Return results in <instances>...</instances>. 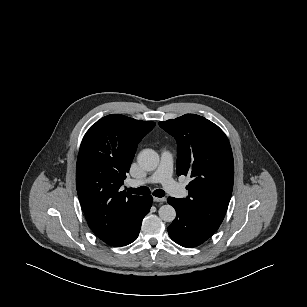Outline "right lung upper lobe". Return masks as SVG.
Returning a JSON list of instances; mask_svg holds the SVG:
<instances>
[{
    "label": "right lung upper lobe",
    "mask_w": 307,
    "mask_h": 307,
    "mask_svg": "<svg viewBox=\"0 0 307 307\" xmlns=\"http://www.w3.org/2000/svg\"><path fill=\"white\" fill-rule=\"evenodd\" d=\"M155 126L120 114L101 118L85 134L76 165L78 198L91 230L102 241L122 245L133 233L144 196L121 191L138 143Z\"/></svg>",
    "instance_id": "obj_1"
}]
</instances>
